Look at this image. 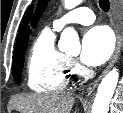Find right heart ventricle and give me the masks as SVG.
I'll return each mask as SVG.
<instances>
[{
	"mask_svg": "<svg viewBox=\"0 0 123 113\" xmlns=\"http://www.w3.org/2000/svg\"><path fill=\"white\" fill-rule=\"evenodd\" d=\"M55 32L56 29H43L28 56L27 84L38 93L52 94L64 90L72 71L67 55L55 45Z\"/></svg>",
	"mask_w": 123,
	"mask_h": 113,
	"instance_id": "e07e8e85",
	"label": "right heart ventricle"
}]
</instances>
